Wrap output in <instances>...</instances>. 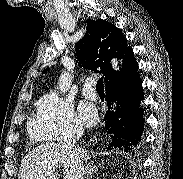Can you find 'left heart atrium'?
Here are the masks:
<instances>
[{
  "mask_svg": "<svg viewBox=\"0 0 183 179\" xmlns=\"http://www.w3.org/2000/svg\"><path fill=\"white\" fill-rule=\"evenodd\" d=\"M79 113L83 122L87 125H92L97 119V111L90 103H82L79 106Z\"/></svg>",
  "mask_w": 183,
  "mask_h": 179,
  "instance_id": "obj_1",
  "label": "left heart atrium"
}]
</instances>
